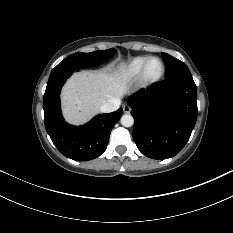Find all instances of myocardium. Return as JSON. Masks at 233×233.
I'll return each mask as SVG.
<instances>
[{"label":"myocardium","mask_w":233,"mask_h":233,"mask_svg":"<svg viewBox=\"0 0 233 233\" xmlns=\"http://www.w3.org/2000/svg\"><path fill=\"white\" fill-rule=\"evenodd\" d=\"M152 60H158L161 63V72L159 73L158 76L154 78H150L147 76V67H148L149 62ZM164 74H165V64L163 60L159 57L151 56L145 61L142 67V70L139 74V82L142 86L148 87V86L158 83L164 77Z\"/></svg>","instance_id":"1"}]
</instances>
